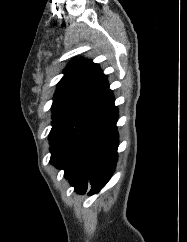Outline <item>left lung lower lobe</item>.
Wrapping results in <instances>:
<instances>
[{"label":"left lung lower lobe","mask_w":187,"mask_h":242,"mask_svg":"<svg viewBox=\"0 0 187 242\" xmlns=\"http://www.w3.org/2000/svg\"><path fill=\"white\" fill-rule=\"evenodd\" d=\"M118 108L113 107L96 121L74 144L59 169L77 193H98L110 180L117 163L119 136Z\"/></svg>","instance_id":"left-lung-lower-lobe-1"}]
</instances>
